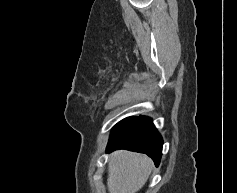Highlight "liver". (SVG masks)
I'll return each instance as SVG.
<instances>
[{
  "label": "liver",
  "instance_id": "obj_1",
  "mask_svg": "<svg viewBox=\"0 0 237 193\" xmlns=\"http://www.w3.org/2000/svg\"><path fill=\"white\" fill-rule=\"evenodd\" d=\"M153 169L146 155L120 150L110 155L107 185L109 193H137Z\"/></svg>",
  "mask_w": 237,
  "mask_h": 193
}]
</instances>
